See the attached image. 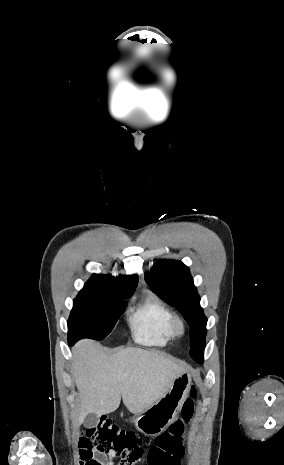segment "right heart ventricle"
Listing matches in <instances>:
<instances>
[{
    "label": "right heart ventricle",
    "mask_w": 284,
    "mask_h": 465,
    "mask_svg": "<svg viewBox=\"0 0 284 465\" xmlns=\"http://www.w3.org/2000/svg\"><path fill=\"white\" fill-rule=\"evenodd\" d=\"M173 311L158 295L148 291L130 310L127 323L138 342L147 346H166L174 340L171 332Z\"/></svg>",
    "instance_id": "e07e8e85"
}]
</instances>
